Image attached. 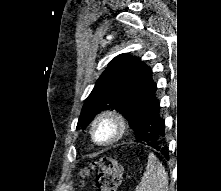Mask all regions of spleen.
Here are the masks:
<instances>
[{"mask_svg":"<svg viewBox=\"0 0 221 191\" xmlns=\"http://www.w3.org/2000/svg\"><path fill=\"white\" fill-rule=\"evenodd\" d=\"M136 191H168V174L153 153L148 156L146 171Z\"/></svg>","mask_w":221,"mask_h":191,"instance_id":"obj_1","label":"spleen"}]
</instances>
